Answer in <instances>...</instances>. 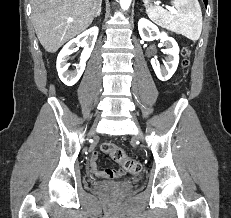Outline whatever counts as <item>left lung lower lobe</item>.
I'll list each match as a JSON object with an SVG mask.
<instances>
[{
	"label": "left lung lower lobe",
	"instance_id": "0a47b994",
	"mask_svg": "<svg viewBox=\"0 0 231 218\" xmlns=\"http://www.w3.org/2000/svg\"><path fill=\"white\" fill-rule=\"evenodd\" d=\"M203 1H204L205 5L207 6V0H203Z\"/></svg>",
	"mask_w": 231,
	"mask_h": 218
}]
</instances>
